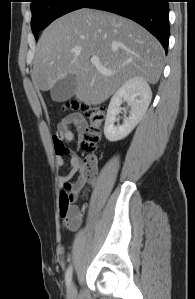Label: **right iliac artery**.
I'll return each mask as SVG.
<instances>
[{
    "label": "right iliac artery",
    "instance_id": "1",
    "mask_svg": "<svg viewBox=\"0 0 195 299\" xmlns=\"http://www.w3.org/2000/svg\"><path fill=\"white\" fill-rule=\"evenodd\" d=\"M65 280H66L67 287H69L71 284V280H72V267L71 266H69L66 271Z\"/></svg>",
    "mask_w": 195,
    "mask_h": 299
}]
</instances>
